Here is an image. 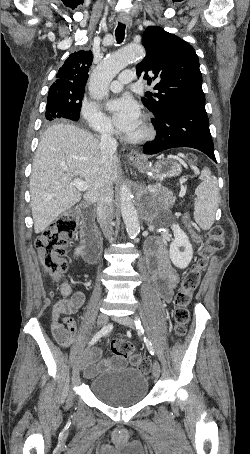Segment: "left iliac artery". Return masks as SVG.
<instances>
[{
    "label": "left iliac artery",
    "instance_id": "left-iliac-artery-1",
    "mask_svg": "<svg viewBox=\"0 0 250 454\" xmlns=\"http://www.w3.org/2000/svg\"><path fill=\"white\" fill-rule=\"evenodd\" d=\"M135 325H136V329L138 331L139 334H142L144 335V329H143V326L141 324V321H140V318L138 316H135ZM144 342L146 343V346L148 348V350L150 351L151 355H155V350L152 346V343L151 341L144 336Z\"/></svg>",
    "mask_w": 250,
    "mask_h": 454
}]
</instances>
